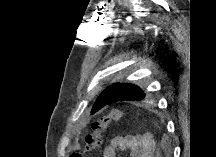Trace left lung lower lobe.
Segmentation results:
<instances>
[{"mask_svg":"<svg viewBox=\"0 0 216 157\" xmlns=\"http://www.w3.org/2000/svg\"><path fill=\"white\" fill-rule=\"evenodd\" d=\"M94 106H96V109L94 110V113H96L97 111H99L100 109H102V107L98 106L96 102L94 103L93 107ZM94 113H92V114H94Z\"/></svg>","mask_w":216,"mask_h":157,"instance_id":"1","label":"left lung lower lobe"}]
</instances>
